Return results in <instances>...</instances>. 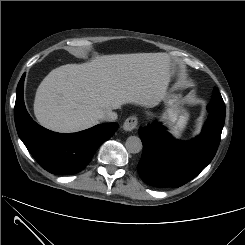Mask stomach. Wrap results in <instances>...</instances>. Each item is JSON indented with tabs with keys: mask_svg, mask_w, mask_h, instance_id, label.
<instances>
[{
	"mask_svg": "<svg viewBox=\"0 0 245 245\" xmlns=\"http://www.w3.org/2000/svg\"><path fill=\"white\" fill-rule=\"evenodd\" d=\"M168 105L169 108L165 114V118L173 127V133L179 136L186 126L188 114L183 109L180 99L177 96L169 98Z\"/></svg>",
	"mask_w": 245,
	"mask_h": 245,
	"instance_id": "1",
	"label": "stomach"
}]
</instances>
